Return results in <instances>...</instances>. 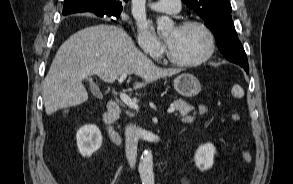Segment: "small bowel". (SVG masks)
<instances>
[{
  "label": "small bowel",
  "instance_id": "c3829d8e",
  "mask_svg": "<svg viewBox=\"0 0 293 184\" xmlns=\"http://www.w3.org/2000/svg\"><path fill=\"white\" fill-rule=\"evenodd\" d=\"M205 112H206V108H205V106L200 105V106H199V113H200V114H203V113H205ZM185 120H186V121H190V120H192V117H191V116L186 117ZM182 182H183V184H191V182H190V180H189L188 178H183Z\"/></svg>",
  "mask_w": 293,
  "mask_h": 184
}]
</instances>
